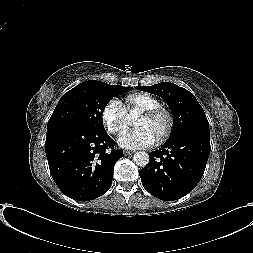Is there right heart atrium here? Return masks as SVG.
<instances>
[{"mask_svg": "<svg viewBox=\"0 0 253 253\" xmlns=\"http://www.w3.org/2000/svg\"><path fill=\"white\" fill-rule=\"evenodd\" d=\"M101 119L106 130L111 134L121 135L128 128V114L125 106L119 99H111L104 106L101 113Z\"/></svg>", "mask_w": 253, "mask_h": 253, "instance_id": "1", "label": "right heart atrium"}]
</instances>
